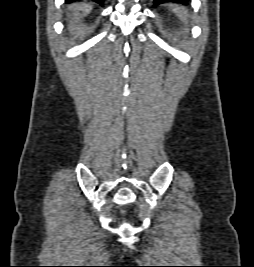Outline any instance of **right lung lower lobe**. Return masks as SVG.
<instances>
[{"instance_id":"1","label":"right lung lower lobe","mask_w":254,"mask_h":267,"mask_svg":"<svg viewBox=\"0 0 254 267\" xmlns=\"http://www.w3.org/2000/svg\"><path fill=\"white\" fill-rule=\"evenodd\" d=\"M67 1L74 2V1H81V0H67ZM92 1H95V2H97L99 4H102L103 3V0H92Z\"/></svg>"}]
</instances>
